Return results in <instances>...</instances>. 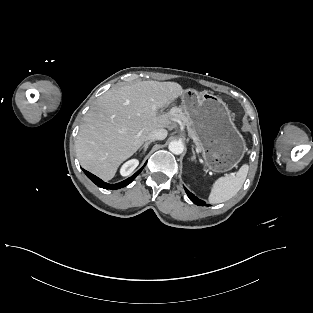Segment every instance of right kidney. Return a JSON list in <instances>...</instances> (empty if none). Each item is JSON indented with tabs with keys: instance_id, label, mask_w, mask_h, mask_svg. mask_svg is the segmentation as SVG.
Segmentation results:
<instances>
[{
	"instance_id": "obj_1",
	"label": "right kidney",
	"mask_w": 313,
	"mask_h": 313,
	"mask_svg": "<svg viewBox=\"0 0 313 313\" xmlns=\"http://www.w3.org/2000/svg\"><path fill=\"white\" fill-rule=\"evenodd\" d=\"M139 161L137 159H131L123 164V166L120 169V174L122 176H128L130 175L134 169L138 166Z\"/></svg>"
}]
</instances>
